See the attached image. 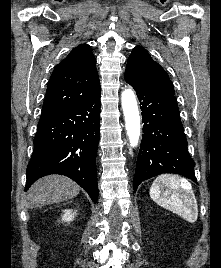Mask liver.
I'll return each instance as SVG.
<instances>
[{
    "mask_svg": "<svg viewBox=\"0 0 221 268\" xmlns=\"http://www.w3.org/2000/svg\"><path fill=\"white\" fill-rule=\"evenodd\" d=\"M80 187L71 179L51 175L36 181L28 191L26 206L35 208L67 201L79 194Z\"/></svg>",
    "mask_w": 221,
    "mask_h": 268,
    "instance_id": "liver-1",
    "label": "liver"
}]
</instances>
